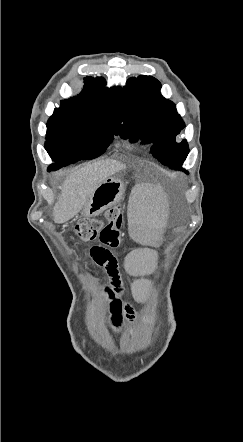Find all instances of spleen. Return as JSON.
Listing matches in <instances>:
<instances>
[{"label":"spleen","instance_id":"obj_1","mask_svg":"<svg viewBox=\"0 0 243 442\" xmlns=\"http://www.w3.org/2000/svg\"><path fill=\"white\" fill-rule=\"evenodd\" d=\"M146 182H153L155 175L146 173ZM160 185L154 183H135L132 193H126L125 200L130 202L127 207L129 234L133 242H160V231L162 226H169L170 219L165 217L168 202L165 200V193H159ZM160 263V254L155 251L152 254H135L130 265L134 274H155ZM153 289L152 282H139L138 287L132 288L133 296H140L142 302H147Z\"/></svg>","mask_w":243,"mask_h":442}]
</instances>
